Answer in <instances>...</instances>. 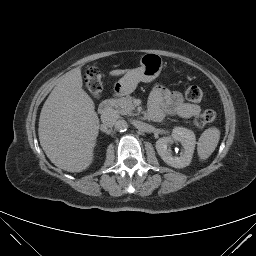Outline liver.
<instances>
[{
	"mask_svg": "<svg viewBox=\"0 0 256 256\" xmlns=\"http://www.w3.org/2000/svg\"><path fill=\"white\" fill-rule=\"evenodd\" d=\"M130 70H113L119 76ZM81 69L64 74L45 101L39 118V140L50 161L68 172H81L93 161L99 119L82 88Z\"/></svg>",
	"mask_w": 256,
	"mask_h": 256,
	"instance_id": "1",
	"label": "liver"
}]
</instances>
